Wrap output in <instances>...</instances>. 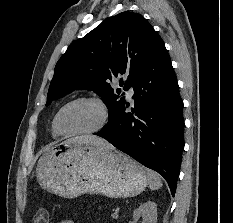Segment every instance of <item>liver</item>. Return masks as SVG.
Listing matches in <instances>:
<instances>
[{
    "label": "liver",
    "instance_id": "1",
    "mask_svg": "<svg viewBox=\"0 0 233 223\" xmlns=\"http://www.w3.org/2000/svg\"><path fill=\"white\" fill-rule=\"evenodd\" d=\"M68 141H70V143H91V145H102V147H111V149H115L106 139L97 137V135H91V133H88V135H80V137H71Z\"/></svg>",
    "mask_w": 233,
    "mask_h": 223
}]
</instances>
